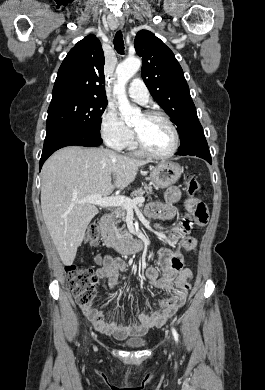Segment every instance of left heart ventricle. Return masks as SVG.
I'll return each instance as SVG.
<instances>
[{
	"mask_svg": "<svg viewBox=\"0 0 265 390\" xmlns=\"http://www.w3.org/2000/svg\"><path fill=\"white\" fill-rule=\"evenodd\" d=\"M144 144L155 153H165L172 147L173 134L167 124L159 118L139 115L133 123Z\"/></svg>",
	"mask_w": 265,
	"mask_h": 390,
	"instance_id": "obj_1",
	"label": "left heart ventricle"
}]
</instances>
